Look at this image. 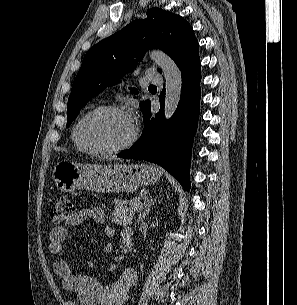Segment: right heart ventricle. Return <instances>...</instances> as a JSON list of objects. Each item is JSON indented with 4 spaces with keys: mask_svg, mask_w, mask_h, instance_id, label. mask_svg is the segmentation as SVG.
Listing matches in <instances>:
<instances>
[{
    "mask_svg": "<svg viewBox=\"0 0 297 305\" xmlns=\"http://www.w3.org/2000/svg\"><path fill=\"white\" fill-rule=\"evenodd\" d=\"M73 140H74V143H75L76 148H77L78 150H80V151H84V150H82V149L80 148V146L77 144L76 139H75L74 132H73ZM84 152H85V151H84Z\"/></svg>",
    "mask_w": 297,
    "mask_h": 305,
    "instance_id": "obj_1",
    "label": "right heart ventricle"
}]
</instances>
